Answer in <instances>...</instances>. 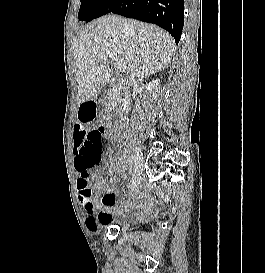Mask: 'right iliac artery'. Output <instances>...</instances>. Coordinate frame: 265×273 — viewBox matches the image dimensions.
<instances>
[{
	"label": "right iliac artery",
	"instance_id": "obj_1",
	"mask_svg": "<svg viewBox=\"0 0 265 273\" xmlns=\"http://www.w3.org/2000/svg\"><path fill=\"white\" fill-rule=\"evenodd\" d=\"M128 161L130 162V163H132V164H135L136 165V158L134 157V156H129L128 157Z\"/></svg>",
	"mask_w": 265,
	"mask_h": 273
}]
</instances>
